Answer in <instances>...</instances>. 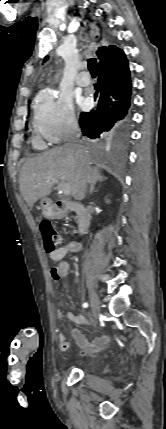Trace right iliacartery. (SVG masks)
<instances>
[{
  "label": "right iliac artery",
  "mask_w": 166,
  "mask_h": 429,
  "mask_svg": "<svg viewBox=\"0 0 166 429\" xmlns=\"http://www.w3.org/2000/svg\"><path fill=\"white\" fill-rule=\"evenodd\" d=\"M83 307H84V308H87V307H88V303H84V304H83Z\"/></svg>",
  "instance_id": "obj_1"
}]
</instances>
